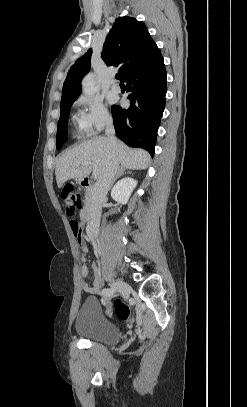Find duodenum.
Listing matches in <instances>:
<instances>
[{
    "mask_svg": "<svg viewBox=\"0 0 247 407\" xmlns=\"http://www.w3.org/2000/svg\"><path fill=\"white\" fill-rule=\"evenodd\" d=\"M81 184L84 188L87 189H91L93 187V181L88 178H84ZM95 211L96 208L92 203L86 204L81 210V220L84 223L90 222L94 216Z\"/></svg>",
    "mask_w": 247,
    "mask_h": 407,
    "instance_id": "410a0bca",
    "label": "duodenum"
}]
</instances>
